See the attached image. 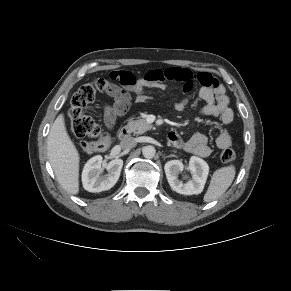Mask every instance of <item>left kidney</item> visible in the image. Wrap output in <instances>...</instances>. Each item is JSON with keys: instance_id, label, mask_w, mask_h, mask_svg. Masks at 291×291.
Listing matches in <instances>:
<instances>
[{"instance_id": "obj_1", "label": "left kidney", "mask_w": 291, "mask_h": 291, "mask_svg": "<svg viewBox=\"0 0 291 291\" xmlns=\"http://www.w3.org/2000/svg\"><path fill=\"white\" fill-rule=\"evenodd\" d=\"M188 168L191 172L192 179L186 183H183L178 179L179 173L184 169L183 163L179 160L168 161L164 166L168 183L172 190L179 194H200L203 191L207 180L209 166L203 159L192 156L190 158Z\"/></svg>"}]
</instances>
